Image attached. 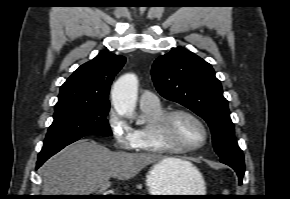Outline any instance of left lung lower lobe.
Returning a JSON list of instances; mask_svg holds the SVG:
<instances>
[{
    "label": "left lung lower lobe",
    "instance_id": "left-lung-lower-lobe-1",
    "mask_svg": "<svg viewBox=\"0 0 290 199\" xmlns=\"http://www.w3.org/2000/svg\"><path fill=\"white\" fill-rule=\"evenodd\" d=\"M220 161L226 165H229L236 171L239 177V182L241 184L245 171L244 158H221Z\"/></svg>",
    "mask_w": 290,
    "mask_h": 199
}]
</instances>
